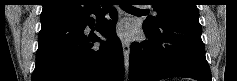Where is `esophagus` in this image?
Instances as JSON below:
<instances>
[{
  "instance_id": "1",
  "label": "esophagus",
  "mask_w": 237,
  "mask_h": 81,
  "mask_svg": "<svg viewBox=\"0 0 237 81\" xmlns=\"http://www.w3.org/2000/svg\"><path fill=\"white\" fill-rule=\"evenodd\" d=\"M122 48H123V55H124V64L125 68L128 71L129 67V55H130V43L127 40H122Z\"/></svg>"
}]
</instances>
